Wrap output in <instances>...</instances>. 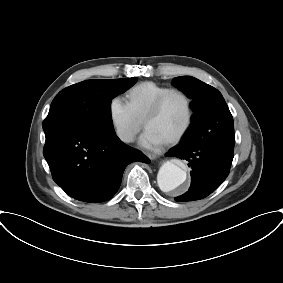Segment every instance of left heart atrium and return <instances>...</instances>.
<instances>
[{"label":"left heart atrium","mask_w":283,"mask_h":283,"mask_svg":"<svg viewBox=\"0 0 283 283\" xmlns=\"http://www.w3.org/2000/svg\"><path fill=\"white\" fill-rule=\"evenodd\" d=\"M164 142L165 141L161 137H159L158 135L147 129L140 138V144L146 148L159 146Z\"/></svg>","instance_id":"obj_1"}]
</instances>
